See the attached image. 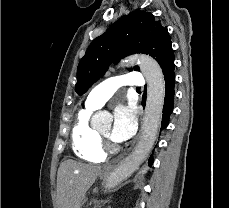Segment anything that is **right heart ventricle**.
<instances>
[{
    "label": "right heart ventricle",
    "instance_id": "obj_1",
    "mask_svg": "<svg viewBox=\"0 0 229 208\" xmlns=\"http://www.w3.org/2000/svg\"><path fill=\"white\" fill-rule=\"evenodd\" d=\"M94 109L85 104L76 116L70 134V142L73 154L84 162H98L104 153L99 144L102 143L98 132L91 126L90 117Z\"/></svg>",
    "mask_w": 229,
    "mask_h": 208
}]
</instances>
